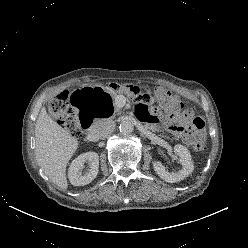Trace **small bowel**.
<instances>
[{"label":"small bowel","instance_id":"small-bowel-1","mask_svg":"<svg viewBox=\"0 0 248 248\" xmlns=\"http://www.w3.org/2000/svg\"><path fill=\"white\" fill-rule=\"evenodd\" d=\"M136 115L158 129L165 128L187 145H192L197 140H203L205 137L203 130L197 131L190 126L191 112L174 115L171 117L170 122L166 123L156 110L148 107V105L138 104L136 106Z\"/></svg>","mask_w":248,"mask_h":248}]
</instances>
